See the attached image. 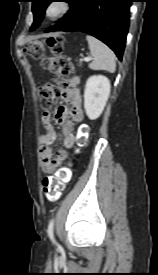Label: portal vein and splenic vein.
Listing matches in <instances>:
<instances>
[{"label":"portal vein and splenic vein","mask_w":158,"mask_h":275,"mask_svg":"<svg viewBox=\"0 0 158 275\" xmlns=\"http://www.w3.org/2000/svg\"><path fill=\"white\" fill-rule=\"evenodd\" d=\"M83 60H84V61H90V60H91V57H84Z\"/></svg>","instance_id":"portal-vein-and-splenic-vein-1"}]
</instances>
